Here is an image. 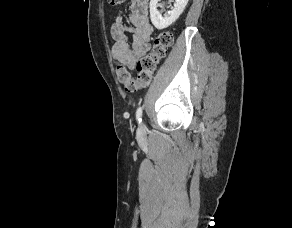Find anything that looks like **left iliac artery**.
I'll list each match as a JSON object with an SVG mask.
<instances>
[{
	"instance_id": "obj_1",
	"label": "left iliac artery",
	"mask_w": 292,
	"mask_h": 228,
	"mask_svg": "<svg viewBox=\"0 0 292 228\" xmlns=\"http://www.w3.org/2000/svg\"><path fill=\"white\" fill-rule=\"evenodd\" d=\"M142 110H143V107L140 106L138 107V109L136 110V119L137 121L140 123L141 122V117H142Z\"/></svg>"
}]
</instances>
